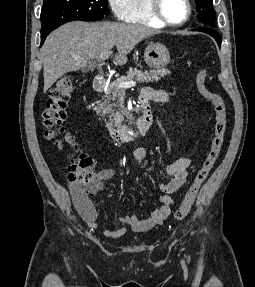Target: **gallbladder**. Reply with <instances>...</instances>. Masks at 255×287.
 Wrapping results in <instances>:
<instances>
[{
    "label": "gallbladder",
    "mask_w": 255,
    "mask_h": 287,
    "mask_svg": "<svg viewBox=\"0 0 255 287\" xmlns=\"http://www.w3.org/2000/svg\"><path fill=\"white\" fill-rule=\"evenodd\" d=\"M90 66H85L83 72H85V70H89Z\"/></svg>",
    "instance_id": "bac80fb5"
}]
</instances>
